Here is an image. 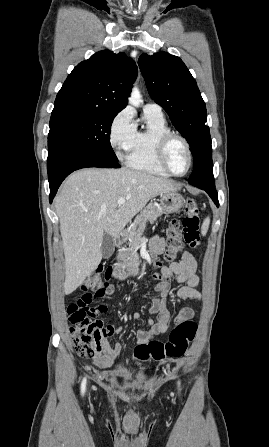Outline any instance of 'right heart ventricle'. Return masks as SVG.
<instances>
[{"mask_svg":"<svg viewBox=\"0 0 269 447\" xmlns=\"http://www.w3.org/2000/svg\"><path fill=\"white\" fill-rule=\"evenodd\" d=\"M145 125L135 130L131 148L127 155L128 166L156 175L169 176L170 173L157 159V143L161 136L172 132L164 116L144 111Z\"/></svg>","mask_w":269,"mask_h":447,"instance_id":"e07e8e85","label":"right heart ventricle"}]
</instances>
